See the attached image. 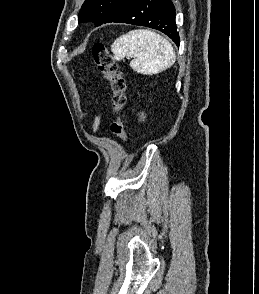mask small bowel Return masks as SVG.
<instances>
[{
    "label": "small bowel",
    "instance_id": "small-bowel-1",
    "mask_svg": "<svg viewBox=\"0 0 259 294\" xmlns=\"http://www.w3.org/2000/svg\"><path fill=\"white\" fill-rule=\"evenodd\" d=\"M84 116V119L86 120V114L84 113L83 114ZM99 125H100V117L99 116H96L93 120V123H92V130L93 132H96L99 128Z\"/></svg>",
    "mask_w": 259,
    "mask_h": 294
}]
</instances>
